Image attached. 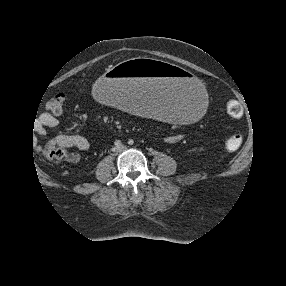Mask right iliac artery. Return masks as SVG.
Masks as SVG:
<instances>
[{"label": "right iliac artery", "mask_w": 286, "mask_h": 286, "mask_svg": "<svg viewBox=\"0 0 286 286\" xmlns=\"http://www.w3.org/2000/svg\"><path fill=\"white\" fill-rule=\"evenodd\" d=\"M117 147H120L122 145L120 140H116L114 143Z\"/></svg>", "instance_id": "obj_1"}]
</instances>
